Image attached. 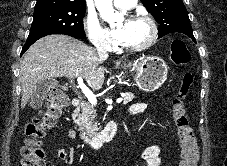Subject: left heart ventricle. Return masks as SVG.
I'll use <instances>...</instances> for the list:
<instances>
[{
  "instance_id": "left-heart-ventricle-1",
  "label": "left heart ventricle",
  "mask_w": 227,
  "mask_h": 166,
  "mask_svg": "<svg viewBox=\"0 0 227 166\" xmlns=\"http://www.w3.org/2000/svg\"><path fill=\"white\" fill-rule=\"evenodd\" d=\"M149 36L148 25L144 21L130 20L128 22V33L124 44L126 46L143 43Z\"/></svg>"
}]
</instances>
